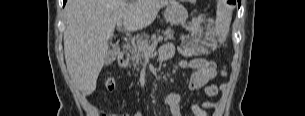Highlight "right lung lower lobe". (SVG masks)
Wrapping results in <instances>:
<instances>
[{
	"label": "right lung lower lobe",
	"mask_w": 305,
	"mask_h": 116,
	"mask_svg": "<svg viewBox=\"0 0 305 116\" xmlns=\"http://www.w3.org/2000/svg\"><path fill=\"white\" fill-rule=\"evenodd\" d=\"M63 1H64V4H65L67 0H63Z\"/></svg>",
	"instance_id": "98d812e1"
}]
</instances>
